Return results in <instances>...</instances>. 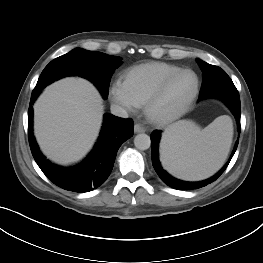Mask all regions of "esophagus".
<instances>
[{"mask_svg":"<svg viewBox=\"0 0 263 263\" xmlns=\"http://www.w3.org/2000/svg\"><path fill=\"white\" fill-rule=\"evenodd\" d=\"M146 129L141 124H135L134 125V132L135 133H143Z\"/></svg>","mask_w":263,"mask_h":263,"instance_id":"1","label":"esophagus"}]
</instances>
